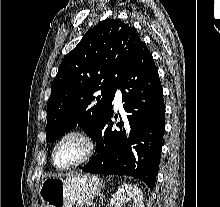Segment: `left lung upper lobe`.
<instances>
[{
	"instance_id": "obj_1",
	"label": "left lung upper lobe",
	"mask_w": 220,
	"mask_h": 207,
	"mask_svg": "<svg viewBox=\"0 0 220 207\" xmlns=\"http://www.w3.org/2000/svg\"><path fill=\"white\" fill-rule=\"evenodd\" d=\"M141 42L135 28L120 19H106L88 30L64 57L52 82L47 142L77 125L94 136L111 111L117 85Z\"/></svg>"
}]
</instances>
